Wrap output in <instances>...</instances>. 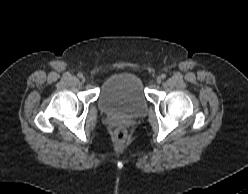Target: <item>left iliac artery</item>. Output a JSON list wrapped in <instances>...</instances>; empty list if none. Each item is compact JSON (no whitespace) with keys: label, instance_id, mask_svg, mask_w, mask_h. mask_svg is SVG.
Listing matches in <instances>:
<instances>
[{"label":"left iliac artery","instance_id":"left-iliac-artery-1","mask_svg":"<svg viewBox=\"0 0 248 194\" xmlns=\"http://www.w3.org/2000/svg\"><path fill=\"white\" fill-rule=\"evenodd\" d=\"M161 78H162V79H165V78H166V75H165V74H162V75H161Z\"/></svg>","mask_w":248,"mask_h":194}]
</instances>
